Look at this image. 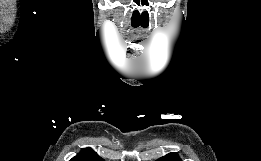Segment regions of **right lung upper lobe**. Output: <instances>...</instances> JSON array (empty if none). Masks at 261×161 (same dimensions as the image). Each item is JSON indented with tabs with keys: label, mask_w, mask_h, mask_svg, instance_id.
<instances>
[{
	"label": "right lung upper lobe",
	"mask_w": 261,
	"mask_h": 161,
	"mask_svg": "<svg viewBox=\"0 0 261 161\" xmlns=\"http://www.w3.org/2000/svg\"><path fill=\"white\" fill-rule=\"evenodd\" d=\"M70 161H104L91 148L82 149V151Z\"/></svg>",
	"instance_id": "1"
}]
</instances>
